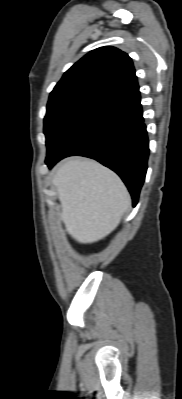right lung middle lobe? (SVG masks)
I'll return each mask as SVG.
<instances>
[{
	"label": "right lung middle lobe",
	"instance_id": "obj_1",
	"mask_svg": "<svg viewBox=\"0 0 182 399\" xmlns=\"http://www.w3.org/2000/svg\"><path fill=\"white\" fill-rule=\"evenodd\" d=\"M105 102L100 98L82 94L49 98L44 118L47 150L73 124L101 107Z\"/></svg>",
	"mask_w": 182,
	"mask_h": 399
}]
</instances>
